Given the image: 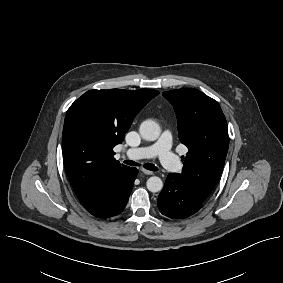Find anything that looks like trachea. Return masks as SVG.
Wrapping results in <instances>:
<instances>
[{
	"label": "trachea",
	"instance_id": "trachea-1",
	"mask_svg": "<svg viewBox=\"0 0 283 283\" xmlns=\"http://www.w3.org/2000/svg\"><path fill=\"white\" fill-rule=\"evenodd\" d=\"M124 163L127 164V165H130V166H140L139 163H136L132 160H125ZM144 168L147 169V170H150V171H157L158 170V168L155 165L149 164V163L144 164Z\"/></svg>",
	"mask_w": 283,
	"mask_h": 283
}]
</instances>
